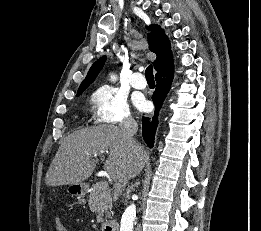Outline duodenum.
Returning a JSON list of instances; mask_svg holds the SVG:
<instances>
[{
    "label": "duodenum",
    "mask_w": 261,
    "mask_h": 231,
    "mask_svg": "<svg viewBox=\"0 0 261 231\" xmlns=\"http://www.w3.org/2000/svg\"><path fill=\"white\" fill-rule=\"evenodd\" d=\"M102 231H119V222L111 220L105 223L102 227Z\"/></svg>",
    "instance_id": "duodenum-1"
}]
</instances>
